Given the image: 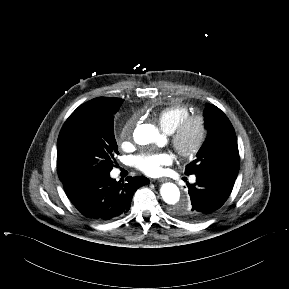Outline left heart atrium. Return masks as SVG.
<instances>
[{
  "instance_id": "39dd6f15",
  "label": "left heart atrium",
  "mask_w": 289,
  "mask_h": 289,
  "mask_svg": "<svg viewBox=\"0 0 289 289\" xmlns=\"http://www.w3.org/2000/svg\"><path fill=\"white\" fill-rule=\"evenodd\" d=\"M174 155L167 151L144 152L133 158L134 166L149 176H156L162 172L164 166L172 164Z\"/></svg>"
}]
</instances>
